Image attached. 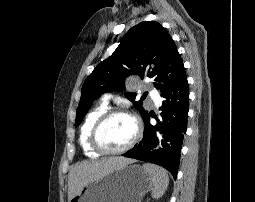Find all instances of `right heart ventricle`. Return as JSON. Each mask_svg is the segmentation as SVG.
<instances>
[{"mask_svg": "<svg viewBox=\"0 0 255 202\" xmlns=\"http://www.w3.org/2000/svg\"><path fill=\"white\" fill-rule=\"evenodd\" d=\"M108 110L106 102H102L94 107L86 116L81 128H80V144L85 155L91 158H96L100 153L96 152L90 145L89 137L91 129L96 120Z\"/></svg>", "mask_w": 255, "mask_h": 202, "instance_id": "right-heart-ventricle-1", "label": "right heart ventricle"}]
</instances>
